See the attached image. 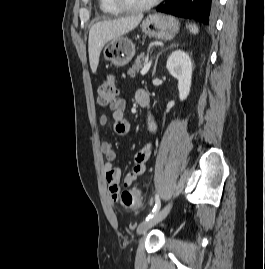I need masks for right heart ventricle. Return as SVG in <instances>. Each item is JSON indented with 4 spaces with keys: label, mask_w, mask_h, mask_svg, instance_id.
<instances>
[{
    "label": "right heart ventricle",
    "mask_w": 265,
    "mask_h": 269,
    "mask_svg": "<svg viewBox=\"0 0 265 269\" xmlns=\"http://www.w3.org/2000/svg\"><path fill=\"white\" fill-rule=\"evenodd\" d=\"M99 7L106 14H119V13H121V10L118 9L112 3V0H99Z\"/></svg>",
    "instance_id": "1"
}]
</instances>
